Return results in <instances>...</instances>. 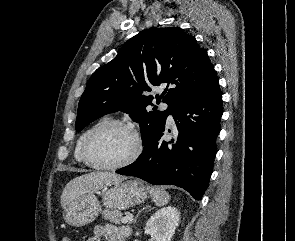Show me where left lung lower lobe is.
Returning <instances> with one entry per match:
<instances>
[{
	"instance_id": "left-lung-lower-lobe-1",
	"label": "left lung lower lobe",
	"mask_w": 295,
	"mask_h": 241,
	"mask_svg": "<svg viewBox=\"0 0 295 241\" xmlns=\"http://www.w3.org/2000/svg\"><path fill=\"white\" fill-rule=\"evenodd\" d=\"M218 80L214 77L174 108L171 114L176 122L175 139L168 142L162 139L164 123L139 158L116 173L154 185L179 186L200 200L213 171L223 114Z\"/></svg>"
}]
</instances>
